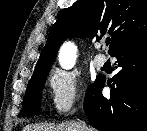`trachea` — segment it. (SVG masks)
<instances>
[{
    "mask_svg": "<svg viewBox=\"0 0 147 131\" xmlns=\"http://www.w3.org/2000/svg\"><path fill=\"white\" fill-rule=\"evenodd\" d=\"M110 43V40H106V45H108Z\"/></svg>",
    "mask_w": 147,
    "mask_h": 131,
    "instance_id": "3493384b",
    "label": "trachea"
}]
</instances>
